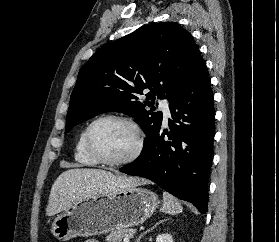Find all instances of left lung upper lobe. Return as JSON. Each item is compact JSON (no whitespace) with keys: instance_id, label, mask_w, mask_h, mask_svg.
Returning a JSON list of instances; mask_svg holds the SVG:
<instances>
[{"instance_id":"left-lung-upper-lobe-1","label":"left lung upper lobe","mask_w":279,"mask_h":242,"mask_svg":"<svg viewBox=\"0 0 279 242\" xmlns=\"http://www.w3.org/2000/svg\"><path fill=\"white\" fill-rule=\"evenodd\" d=\"M198 53L191 34L175 22L152 24L103 46L80 69L65 131L104 112H123L145 132L146 152L162 124V113H152L155 99L172 104ZM143 92L151 102L139 100Z\"/></svg>"}]
</instances>
